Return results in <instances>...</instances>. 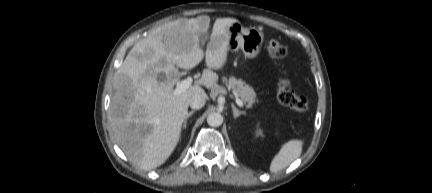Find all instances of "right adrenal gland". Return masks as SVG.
<instances>
[{
    "instance_id": "right-adrenal-gland-1",
    "label": "right adrenal gland",
    "mask_w": 432,
    "mask_h": 193,
    "mask_svg": "<svg viewBox=\"0 0 432 193\" xmlns=\"http://www.w3.org/2000/svg\"><path fill=\"white\" fill-rule=\"evenodd\" d=\"M194 112H195V110H191L190 112L187 113V115H186V117H185V120H184V122H183V129L186 128L187 120H188V118H189L190 116H192V115L194 114Z\"/></svg>"
}]
</instances>
